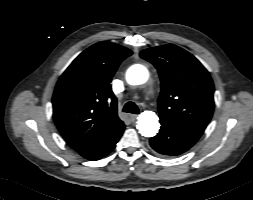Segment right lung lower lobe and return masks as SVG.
Segmentation results:
<instances>
[{"label": "right lung lower lobe", "instance_id": "right-lung-lower-lobe-1", "mask_svg": "<svg viewBox=\"0 0 253 200\" xmlns=\"http://www.w3.org/2000/svg\"><path fill=\"white\" fill-rule=\"evenodd\" d=\"M124 128L125 126L117 130L115 133H113L111 136H109L106 140H104L100 144L85 149L83 151H80L79 152L80 155L91 161L98 160L108 155L114 149L117 141L122 136Z\"/></svg>", "mask_w": 253, "mask_h": 200}]
</instances>
